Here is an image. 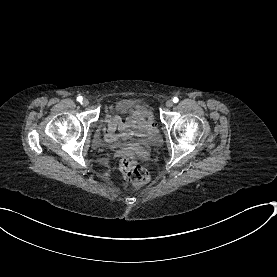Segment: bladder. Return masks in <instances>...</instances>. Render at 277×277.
I'll return each instance as SVG.
<instances>
[{
  "label": "bladder",
  "mask_w": 277,
  "mask_h": 277,
  "mask_svg": "<svg viewBox=\"0 0 277 277\" xmlns=\"http://www.w3.org/2000/svg\"><path fill=\"white\" fill-rule=\"evenodd\" d=\"M149 107L150 104L146 100L137 101V104L126 102L125 100H119L110 106L106 117L117 119L119 116L127 112H131L136 108L149 110ZM159 133V127L157 125L147 126L143 130V134L139 138V141L149 143L151 140L157 138L159 136Z\"/></svg>",
  "instance_id": "1"
}]
</instances>
